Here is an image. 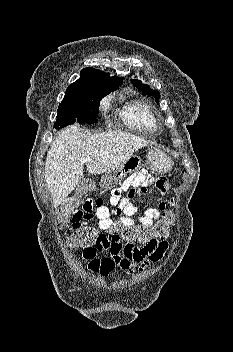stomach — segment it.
I'll return each mask as SVG.
<instances>
[{
    "label": "stomach",
    "mask_w": 233,
    "mask_h": 352,
    "mask_svg": "<svg viewBox=\"0 0 233 352\" xmlns=\"http://www.w3.org/2000/svg\"><path fill=\"white\" fill-rule=\"evenodd\" d=\"M144 166L156 173H167L172 168V160L165 152L158 148H152L146 155ZM142 167L141 159L134 155L125 160L116 169L106 173L101 179V186L111 189L130 173Z\"/></svg>",
    "instance_id": "stomach-1"
}]
</instances>
